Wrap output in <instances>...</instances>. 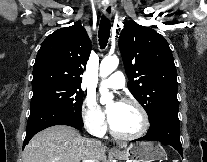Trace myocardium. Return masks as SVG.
<instances>
[{
    "label": "myocardium",
    "instance_id": "f54148a6",
    "mask_svg": "<svg viewBox=\"0 0 207 162\" xmlns=\"http://www.w3.org/2000/svg\"><path fill=\"white\" fill-rule=\"evenodd\" d=\"M119 103H121V104H131V105H134L138 108V110L140 111V113L142 115V127L136 133L122 134V133H119L117 130H115V128L113 127V125L110 122L109 127H110L111 134L114 137H116L118 139H123V140H132V139H137V138L143 136L147 132V130L150 126L149 115H148L145 107L137 99L131 98V97L124 98Z\"/></svg>",
    "mask_w": 207,
    "mask_h": 162
}]
</instances>
